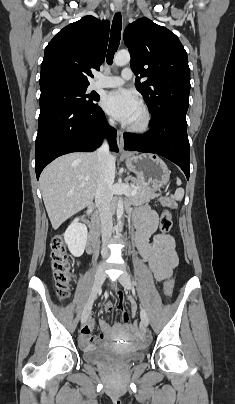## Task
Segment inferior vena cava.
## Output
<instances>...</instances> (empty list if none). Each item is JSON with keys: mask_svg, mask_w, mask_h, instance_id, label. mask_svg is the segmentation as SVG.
Returning a JSON list of instances; mask_svg holds the SVG:
<instances>
[{"mask_svg": "<svg viewBox=\"0 0 235 404\" xmlns=\"http://www.w3.org/2000/svg\"><path fill=\"white\" fill-rule=\"evenodd\" d=\"M111 125L113 120L109 121ZM98 159V181L95 202L99 211L102 233V254L107 253V243L113 231L111 201L113 197V182L115 177V160L109 151L108 144H104L96 152Z\"/></svg>", "mask_w": 235, "mask_h": 404, "instance_id": "1", "label": "inferior vena cava"}]
</instances>
